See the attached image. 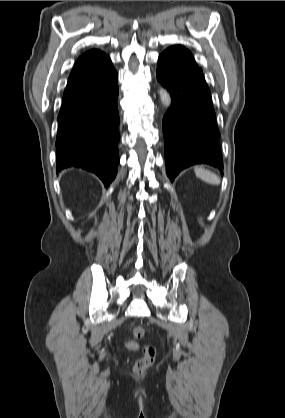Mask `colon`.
Masks as SVG:
<instances>
[{"mask_svg": "<svg viewBox=\"0 0 285 418\" xmlns=\"http://www.w3.org/2000/svg\"><path fill=\"white\" fill-rule=\"evenodd\" d=\"M130 332L135 338H141L144 334L143 329L138 326L132 327ZM155 356V349L152 346H145L143 348L142 357H140L135 363V371L138 373L145 372L154 363Z\"/></svg>", "mask_w": 285, "mask_h": 418, "instance_id": "1", "label": "colon"}]
</instances>
